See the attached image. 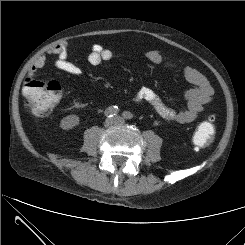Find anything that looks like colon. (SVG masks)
Returning <instances> with one entry per match:
<instances>
[{
	"label": "colon",
	"mask_w": 245,
	"mask_h": 245,
	"mask_svg": "<svg viewBox=\"0 0 245 245\" xmlns=\"http://www.w3.org/2000/svg\"><path fill=\"white\" fill-rule=\"evenodd\" d=\"M27 108L36 116H46L62 96V84L56 80L27 78L23 85ZM215 117L200 123L194 133L193 143L199 149L211 144L215 134Z\"/></svg>",
	"instance_id": "1"
}]
</instances>
